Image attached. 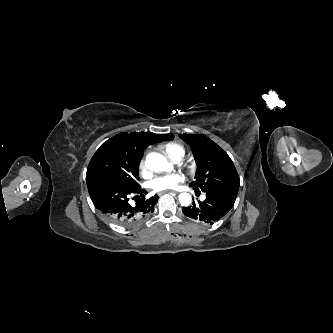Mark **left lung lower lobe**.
I'll list each match as a JSON object with an SVG mask.
<instances>
[{"label": "left lung lower lobe", "instance_id": "0a47b994", "mask_svg": "<svg viewBox=\"0 0 333 333\" xmlns=\"http://www.w3.org/2000/svg\"><path fill=\"white\" fill-rule=\"evenodd\" d=\"M236 197L237 193L233 192L206 193V199L203 202H193L191 206L183 207L182 211L193 220L213 224L231 210Z\"/></svg>", "mask_w": 333, "mask_h": 333}]
</instances>
